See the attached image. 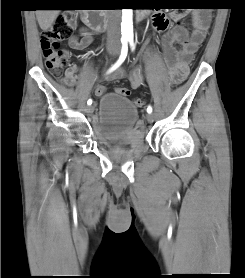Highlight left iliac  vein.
Here are the masks:
<instances>
[{
  "mask_svg": "<svg viewBox=\"0 0 245 278\" xmlns=\"http://www.w3.org/2000/svg\"><path fill=\"white\" fill-rule=\"evenodd\" d=\"M146 119H147V121H148L149 123H152V122L154 121V115L151 114V113H148V114L146 115Z\"/></svg>",
  "mask_w": 245,
  "mask_h": 278,
  "instance_id": "1",
  "label": "left iliac vein"
}]
</instances>
